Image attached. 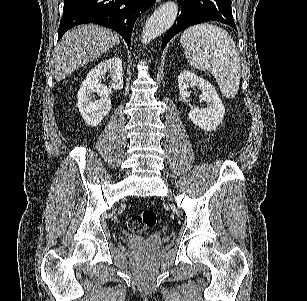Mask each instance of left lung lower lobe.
Returning a JSON list of instances; mask_svg holds the SVG:
<instances>
[{
    "label": "left lung lower lobe",
    "mask_w": 307,
    "mask_h": 301,
    "mask_svg": "<svg viewBox=\"0 0 307 301\" xmlns=\"http://www.w3.org/2000/svg\"><path fill=\"white\" fill-rule=\"evenodd\" d=\"M180 11L173 26L162 40V50L170 39L189 26L220 21L236 29L231 11V0H177Z\"/></svg>",
    "instance_id": "0a47b994"
}]
</instances>
